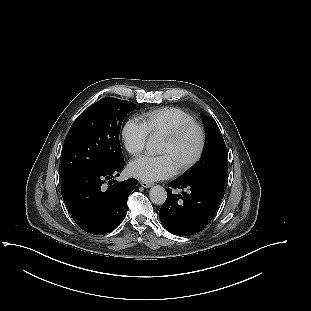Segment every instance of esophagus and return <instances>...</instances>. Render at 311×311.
Instances as JSON below:
<instances>
[{"instance_id":"34e87169","label":"esophagus","mask_w":311,"mask_h":311,"mask_svg":"<svg viewBox=\"0 0 311 311\" xmlns=\"http://www.w3.org/2000/svg\"><path fill=\"white\" fill-rule=\"evenodd\" d=\"M140 185H141L142 187H144V188H149V187L152 186L151 183H148V182H145V181H141V182H140Z\"/></svg>"}]
</instances>
